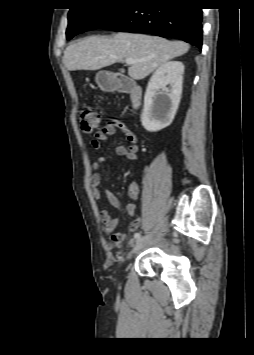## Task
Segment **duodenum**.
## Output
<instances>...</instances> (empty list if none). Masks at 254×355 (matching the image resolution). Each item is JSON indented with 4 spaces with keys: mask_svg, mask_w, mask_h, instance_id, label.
Listing matches in <instances>:
<instances>
[{
    "mask_svg": "<svg viewBox=\"0 0 254 355\" xmlns=\"http://www.w3.org/2000/svg\"><path fill=\"white\" fill-rule=\"evenodd\" d=\"M103 88L117 91L120 93H129L131 98V105L133 109L138 108L141 103L142 90L139 86L133 84L128 78L119 76L106 80L102 84Z\"/></svg>",
    "mask_w": 254,
    "mask_h": 355,
    "instance_id": "410a0bca",
    "label": "duodenum"
}]
</instances>
